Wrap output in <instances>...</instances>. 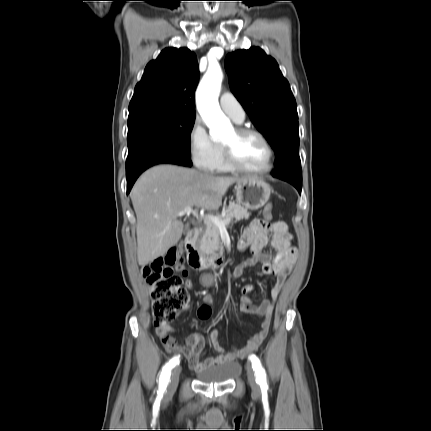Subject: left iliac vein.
Here are the masks:
<instances>
[{"instance_id":"obj_1","label":"left iliac vein","mask_w":431,"mask_h":431,"mask_svg":"<svg viewBox=\"0 0 431 431\" xmlns=\"http://www.w3.org/2000/svg\"><path fill=\"white\" fill-rule=\"evenodd\" d=\"M247 377L253 391H259V385L256 381V374L250 364L246 365Z\"/></svg>"}]
</instances>
